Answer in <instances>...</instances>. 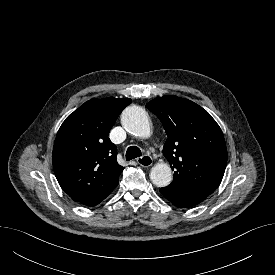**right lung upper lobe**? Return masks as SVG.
<instances>
[{
  "label": "right lung upper lobe",
  "mask_w": 275,
  "mask_h": 275,
  "mask_svg": "<svg viewBox=\"0 0 275 275\" xmlns=\"http://www.w3.org/2000/svg\"><path fill=\"white\" fill-rule=\"evenodd\" d=\"M129 98H92L61 125L53 148V169L61 188L83 201L110 193L124 169L108 134Z\"/></svg>",
  "instance_id": "1"
}]
</instances>
